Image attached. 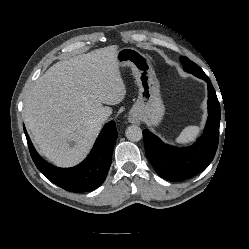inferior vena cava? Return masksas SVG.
<instances>
[{"label":"inferior vena cava","instance_id":"obj_1","mask_svg":"<svg viewBox=\"0 0 249 249\" xmlns=\"http://www.w3.org/2000/svg\"><path fill=\"white\" fill-rule=\"evenodd\" d=\"M108 117H109V114L106 113V112H103V113H100L98 115L97 119H98L99 122L103 123V122H105L108 119Z\"/></svg>","mask_w":249,"mask_h":249}]
</instances>
